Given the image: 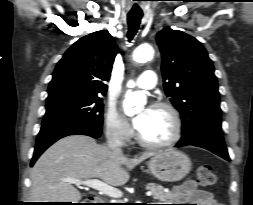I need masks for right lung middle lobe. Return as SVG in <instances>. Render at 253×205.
Returning a JSON list of instances; mask_svg holds the SVG:
<instances>
[{
    "label": "right lung middle lobe",
    "instance_id": "right-lung-middle-lobe-1",
    "mask_svg": "<svg viewBox=\"0 0 253 205\" xmlns=\"http://www.w3.org/2000/svg\"><path fill=\"white\" fill-rule=\"evenodd\" d=\"M103 103L99 96L72 95L47 101L42 125L61 123L101 127Z\"/></svg>",
    "mask_w": 253,
    "mask_h": 205
}]
</instances>
